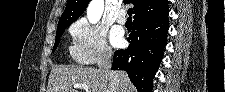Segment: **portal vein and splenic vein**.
Here are the masks:
<instances>
[{"mask_svg": "<svg viewBox=\"0 0 225 92\" xmlns=\"http://www.w3.org/2000/svg\"><path fill=\"white\" fill-rule=\"evenodd\" d=\"M74 88L76 89H84L86 92H91L90 88L86 84H74Z\"/></svg>", "mask_w": 225, "mask_h": 92, "instance_id": "18ae733b", "label": "portal vein and splenic vein"}]
</instances>
